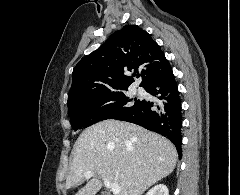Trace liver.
Returning a JSON list of instances; mask_svg holds the SVG:
<instances>
[{
    "instance_id": "6515ba94",
    "label": "liver",
    "mask_w": 240,
    "mask_h": 195,
    "mask_svg": "<svg viewBox=\"0 0 240 195\" xmlns=\"http://www.w3.org/2000/svg\"><path fill=\"white\" fill-rule=\"evenodd\" d=\"M178 153L170 139L141 125L104 119L86 127L74 147L66 189L89 179L75 195H96L102 179L120 183L119 195H141L173 171ZM92 171V179L85 177Z\"/></svg>"
}]
</instances>
